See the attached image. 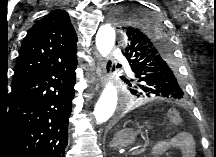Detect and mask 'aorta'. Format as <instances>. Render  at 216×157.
<instances>
[{
	"label": "aorta",
	"mask_w": 216,
	"mask_h": 157,
	"mask_svg": "<svg viewBox=\"0 0 216 157\" xmlns=\"http://www.w3.org/2000/svg\"><path fill=\"white\" fill-rule=\"evenodd\" d=\"M115 37V30L110 24H105L99 28L96 35V47L102 56L106 57L109 55L115 44ZM117 102V88L112 82H108L93 111L97 124H102L112 117L116 110Z\"/></svg>",
	"instance_id": "obj_1"
}]
</instances>
